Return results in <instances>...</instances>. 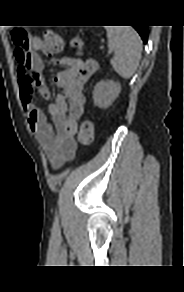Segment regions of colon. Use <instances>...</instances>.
<instances>
[{"instance_id": "obj_1", "label": "colon", "mask_w": 184, "mask_h": 292, "mask_svg": "<svg viewBox=\"0 0 184 292\" xmlns=\"http://www.w3.org/2000/svg\"><path fill=\"white\" fill-rule=\"evenodd\" d=\"M11 38L16 46V54L20 58H25L28 51L29 35L24 29L16 28L11 31ZM77 50H81L82 41L75 38L71 42ZM64 48L63 37L54 30L46 29L43 31L41 50L47 56H52L62 52ZM94 136V125L90 119H84L79 128L78 139L82 145H89Z\"/></svg>"}]
</instances>
